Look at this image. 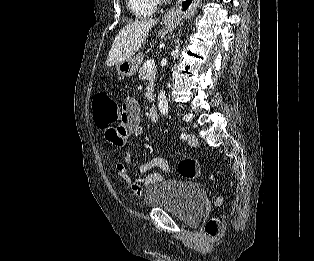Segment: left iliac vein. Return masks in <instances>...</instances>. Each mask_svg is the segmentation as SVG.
Listing matches in <instances>:
<instances>
[{"mask_svg":"<svg viewBox=\"0 0 314 261\" xmlns=\"http://www.w3.org/2000/svg\"><path fill=\"white\" fill-rule=\"evenodd\" d=\"M188 143H189V145L195 147V146H198L199 140H198V138L196 137V135H194V134H189Z\"/></svg>","mask_w":314,"mask_h":261,"instance_id":"1","label":"left iliac vein"}]
</instances>
